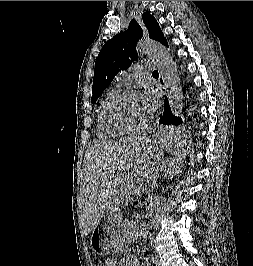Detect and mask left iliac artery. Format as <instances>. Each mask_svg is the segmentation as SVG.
<instances>
[{"mask_svg": "<svg viewBox=\"0 0 253 266\" xmlns=\"http://www.w3.org/2000/svg\"><path fill=\"white\" fill-rule=\"evenodd\" d=\"M151 259H152V261L156 264L157 263V261H158V259H157V257L155 256V255H151Z\"/></svg>", "mask_w": 253, "mask_h": 266, "instance_id": "44dca946", "label": "left iliac artery"}]
</instances>
